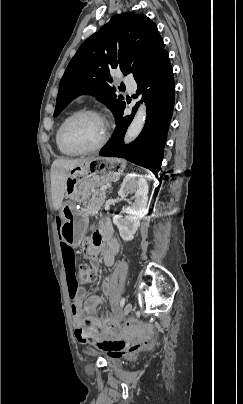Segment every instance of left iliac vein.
<instances>
[{
    "mask_svg": "<svg viewBox=\"0 0 243 404\" xmlns=\"http://www.w3.org/2000/svg\"><path fill=\"white\" fill-rule=\"evenodd\" d=\"M131 310H132V304L128 302L124 307L121 317L125 318L131 312Z\"/></svg>",
    "mask_w": 243,
    "mask_h": 404,
    "instance_id": "4c4485c4",
    "label": "left iliac vein"
}]
</instances>
